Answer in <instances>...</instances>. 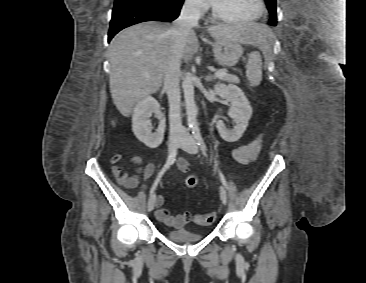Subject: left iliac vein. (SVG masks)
I'll list each match as a JSON object with an SVG mask.
<instances>
[{
	"label": "left iliac vein",
	"mask_w": 366,
	"mask_h": 283,
	"mask_svg": "<svg viewBox=\"0 0 366 283\" xmlns=\"http://www.w3.org/2000/svg\"><path fill=\"white\" fill-rule=\"evenodd\" d=\"M180 148L190 154H196L198 152V146L195 139L187 132H185L179 142ZM220 198L224 205L227 204V192L224 187H220Z\"/></svg>",
	"instance_id": "4c4485c4"
}]
</instances>
